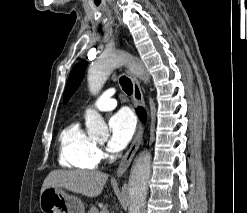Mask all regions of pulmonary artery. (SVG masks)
<instances>
[{
	"instance_id": "e3ab8cb5",
	"label": "pulmonary artery",
	"mask_w": 247,
	"mask_h": 213,
	"mask_svg": "<svg viewBox=\"0 0 247 213\" xmlns=\"http://www.w3.org/2000/svg\"><path fill=\"white\" fill-rule=\"evenodd\" d=\"M115 89L109 88L103 92L99 99L94 103V107L100 111H109L116 107L117 101L112 97Z\"/></svg>"
}]
</instances>
